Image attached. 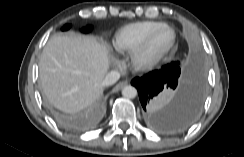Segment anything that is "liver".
Instances as JSON below:
<instances>
[{
  "instance_id": "1",
  "label": "liver",
  "mask_w": 244,
  "mask_h": 157,
  "mask_svg": "<svg viewBox=\"0 0 244 157\" xmlns=\"http://www.w3.org/2000/svg\"><path fill=\"white\" fill-rule=\"evenodd\" d=\"M110 64L105 44L84 35L52 37L39 61L44 94L59 110L78 112L97 101Z\"/></svg>"
}]
</instances>
